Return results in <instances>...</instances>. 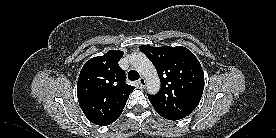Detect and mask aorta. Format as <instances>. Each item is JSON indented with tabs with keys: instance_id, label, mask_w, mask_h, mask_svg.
I'll list each match as a JSON object with an SVG mask.
<instances>
[{
	"instance_id": "aorta-1",
	"label": "aorta",
	"mask_w": 276,
	"mask_h": 138,
	"mask_svg": "<svg viewBox=\"0 0 276 138\" xmlns=\"http://www.w3.org/2000/svg\"><path fill=\"white\" fill-rule=\"evenodd\" d=\"M130 63L138 73L145 77L147 91L150 94L158 93L161 84L160 78L151 60L145 54L138 52L131 55Z\"/></svg>"
}]
</instances>
